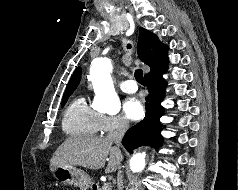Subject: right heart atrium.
Masks as SVG:
<instances>
[{
  "label": "right heart atrium",
  "instance_id": "obj_1",
  "mask_svg": "<svg viewBox=\"0 0 238 190\" xmlns=\"http://www.w3.org/2000/svg\"><path fill=\"white\" fill-rule=\"evenodd\" d=\"M129 127L128 119L122 114L103 115L101 114V131L111 133L123 131Z\"/></svg>",
  "mask_w": 238,
  "mask_h": 190
}]
</instances>
